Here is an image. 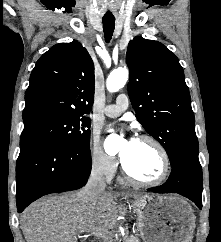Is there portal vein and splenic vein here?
Instances as JSON below:
<instances>
[{"mask_svg":"<svg viewBox=\"0 0 221 242\" xmlns=\"http://www.w3.org/2000/svg\"><path fill=\"white\" fill-rule=\"evenodd\" d=\"M88 232H92L94 234H96L97 236H100V237H105L106 234H107V231L104 230V229H100V230H89Z\"/></svg>","mask_w":221,"mask_h":242,"instance_id":"1","label":"portal vein and splenic vein"}]
</instances>
